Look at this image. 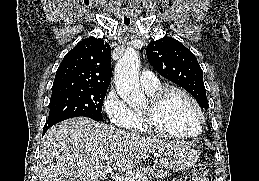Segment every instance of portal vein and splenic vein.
<instances>
[{"label": "portal vein and splenic vein", "mask_w": 259, "mask_h": 181, "mask_svg": "<svg viewBox=\"0 0 259 181\" xmlns=\"http://www.w3.org/2000/svg\"><path fill=\"white\" fill-rule=\"evenodd\" d=\"M105 160H108L109 159V157L108 156H104L103 157ZM110 178L112 179V180H115V181H133L130 177H128V176H120V175H115V174H113V173H111V176H110ZM139 181H147V179L146 178H142V179H140Z\"/></svg>", "instance_id": "1"}]
</instances>
